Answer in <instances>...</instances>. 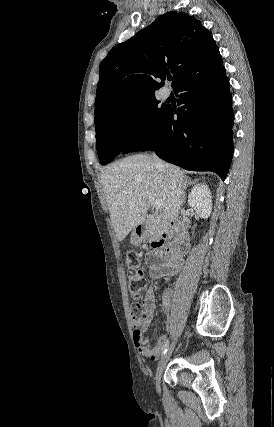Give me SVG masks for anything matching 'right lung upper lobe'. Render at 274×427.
Segmentation results:
<instances>
[{"mask_svg": "<svg viewBox=\"0 0 274 427\" xmlns=\"http://www.w3.org/2000/svg\"><path fill=\"white\" fill-rule=\"evenodd\" d=\"M223 64L211 33L184 12L171 11L113 47L99 68L95 115L124 99L154 94L166 76L175 89L188 77Z\"/></svg>", "mask_w": 274, "mask_h": 427, "instance_id": "cb5924a9", "label": "right lung upper lobe"}]
</instances>
